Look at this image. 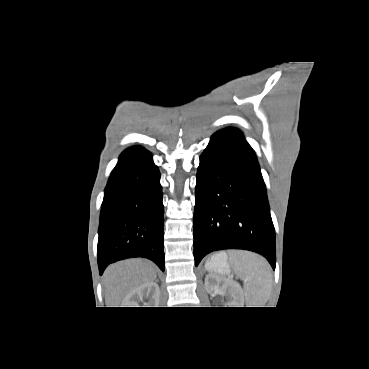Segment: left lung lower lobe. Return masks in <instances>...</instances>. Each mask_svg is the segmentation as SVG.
<instances>
[{"label": "left lung lower lobe", "mask_w": 369, "mask_h": 369, "mask_svg": "<svg viewBox=\"0 0 369 369\" xmlns=\"http://www.w3.org/2000/svg\"><path fill=\"white\" fill-rule=\"evenodd\" d=\"M194 209V258L245 249L275 269V231L266 187L251 146L236 128L216 132L200 156Z\"/></svg>", "instance_id": "obj_1"}]
</instances>
